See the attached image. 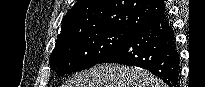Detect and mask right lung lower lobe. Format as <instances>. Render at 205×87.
<instances>
[{"instance_id":"98d812e1","label":"right lung lower lobe","mask_w":205,"mask_h":87,"mask_svg":"<svg viewBox=\"0 0 205 87\" xmlns=\"http://www.w3.org/2000/svg\"><path fill=\"white\" fill-rule=\"evenodd\" d=\"M99 63L137 66L158 76L170 87H179L180 58L166 13L133 31Z\"/></svg>"}]
</instances>
